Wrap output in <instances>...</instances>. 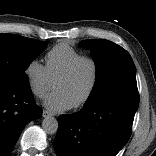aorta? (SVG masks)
<instances>
[{
    "instance_id": "762f6f07",
    "label": "aorta",
    "mask_w": 156,
    "mask_h": 156,
    "mask_svg": "<svg viewBox=\"0 0 156 156\" xmlns=\"http://www.w3.org/2000/svg\"><path fill=\"white\" fill-rule=\"evenodd\" d=\"M42 128L47 134H55L58 129V121L52 116H47L42 121Z\"/></svg>"
}]
</instances>
